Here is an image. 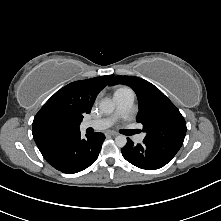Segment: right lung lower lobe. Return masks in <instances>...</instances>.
<instances>
[{
  "mask_svg": "<svg viewBox=\"0 0 221 221\" xmlns=\"http://www.w3.org/2000/svg\"><path fill=\"white\" fill-rule=\"evenodd\" d=\"M86 137L81 138L80 130L63 133L39 150L55 169L70 174L80 172L96 161L105 139L104 134L98 132Z\"/></svg>",
  "mask_w": 221,
  "mask_h": 221,
  "instance_id": "1",
  "label": "right lung lower lobe"
}]
</instances>
